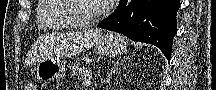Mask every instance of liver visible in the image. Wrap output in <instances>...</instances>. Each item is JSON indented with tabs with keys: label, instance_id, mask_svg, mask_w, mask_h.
I'll return each instance as SVG.
<instances>
[{
	"label": "liver",
	"instance_id": "liver-1",
	"mask_svg": "<svg viewBox=\"0 0 216 90\" xmlns=\"http://www.w3.org/2000/svg\"><path fill=\"white\" fill-rule=\"evenodd\" d=\"M67 58H70L72 54H77L82 48H92L95 44V40L101 38L100 30H86V32H72L67 34Z\"/></svg>",
	"mask_w": 216,
	"mask_h": 90
}]
</instances>
